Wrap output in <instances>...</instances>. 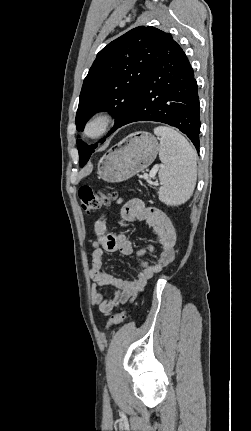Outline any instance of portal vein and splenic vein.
<instances>
[{"instance_id": "obj_1", "label": "portal vein and splenic vein", "mask_w": 251, "mask_h": 431, "mask_svg": "<svg viewBox=\"0 0 251 431\" xmlns=\"http://www.w3.org/2000/svg\"><path fill=\"white\" fill-rule=\"evenodd\" d=\"M158 166H155L151 171H150V178H153V177H155V175H156V173H157V171H158ZM144 177V179H148V175H144L143 176Z\"/></svg>"}]
</instances>
